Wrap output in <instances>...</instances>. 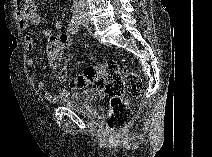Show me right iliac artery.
Instances as JSON below:
<instances>
[{"label":"right iliac artery","mask_w":212,"mask_h":157,"mask_svg":"<svg viewBox=\"0 0 212 157\" xmlns=\"http://www.w3.org/2000/svg\"><path fill=\"white\" fill-rule=\"evenodd\" d=\"M68 31L71 34H76L78 32V24L74 21V19H71L69 22Z\"/></svg>","instance_id":"obj_1"}]
</instances>
